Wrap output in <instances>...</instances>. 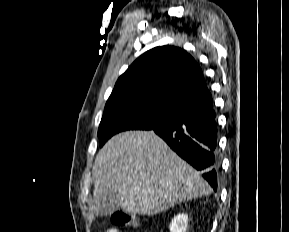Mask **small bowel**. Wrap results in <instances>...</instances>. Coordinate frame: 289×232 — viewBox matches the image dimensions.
Listing matches in <instances>:
<instances>
[{
  "mask_svg": "<svg viewBox=\"0 0 289 232\" xmlns=\"http://www.w3.org/2000/svg\"><path fill=\"white\" fill-rule=\"evenodd\" d=\"M106 232H122V231L116 228H109Z\"/></svg>",
  "mask_w": 289,
  "mask_h": 232,
  "instance_id": "obj_1",
  "label": "small bowel"
}]
</instances>
